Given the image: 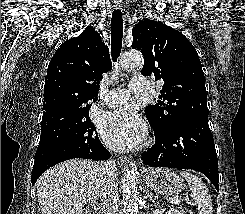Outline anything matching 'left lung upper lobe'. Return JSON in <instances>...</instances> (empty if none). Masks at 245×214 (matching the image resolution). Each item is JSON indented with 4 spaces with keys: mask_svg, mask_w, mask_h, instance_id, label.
Returning a JSON list of instances; mask_svg holds the SVG:
<instances>
[{
    "mask_svg": "<svg viewBox=\"0 0 245 214\" xmlns=\"http://www.w3.org/2000/svg\"><path fill=\"white\" fill-rule=\"evenodd\" d=\"M132 33V48L140 50L144 56L142 75L164 81L158 103L145 108L154 131L168 133L188 119H208L202 65L187 38L154 20L139 22Z\"/></svg>",
    "mask_w": 245,
    "mask_h": 214,
    "instance_id": "5c2ea615",
    "label": "left lung upper lobe"
}]
</instances>
